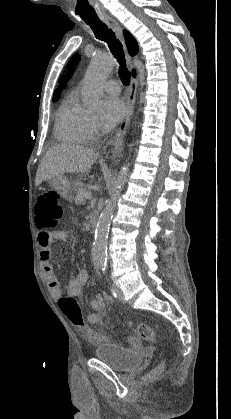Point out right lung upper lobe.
<instances>
[{
	"label": "right lung upper lobe",
	"instance_id": "right-lung-upper-lobe-1",
	"mask_svg": "<svg viewBox=\"0 0 231 419\" xmlns=\"http://www.w3.org/2000/svg\"><path fill=\"white\" fill-rule=\"evenodd\" d=\"M124 37H125L126 45H127V48L129 50L130 55L131 56L136 55L137 52H138V44H137L135 38L128 31H124ZM71 76H72V74H70V75L66 76L65 78H63L62 80H60V81H63L64 84L62 86H60L58 89L55 90L53 98H58L59 97L61 88L65 86V82H67L68 79L71 78Z\"/></svg>",
	"mask_w": 231,
	"mask_h": 419
}]
</instances>
